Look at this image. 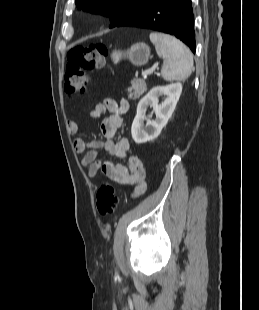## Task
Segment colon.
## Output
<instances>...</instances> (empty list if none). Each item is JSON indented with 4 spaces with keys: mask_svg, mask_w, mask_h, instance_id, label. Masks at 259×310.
I'll list each match as a JSON object with an SVG mask.
<instances>
[{
    "mask_svg": "<svg viewBox=\"0 0 259 310\" xmlns=\"http://www.w3.org/2000/svg\"><path fill=\"white\" fill-rule=\"evenodd\" d=\"M107 47L101 43L78 46L68 52L65 88L69 94H81L86 90V72L101 69L105 64ZM119 200L111 184L102 185L96 195V209L102 216L111 214Z\"/></svg>",
    "mask_w": 259,
    "mask_h": 310,
    "instance_id": "1",
    "label": "colon"
}]
</instances>
